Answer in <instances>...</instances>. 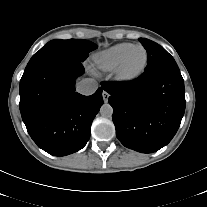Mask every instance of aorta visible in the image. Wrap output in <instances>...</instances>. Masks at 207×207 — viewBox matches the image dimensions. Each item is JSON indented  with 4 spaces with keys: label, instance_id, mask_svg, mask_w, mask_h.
Instances as JSON below:
<instances>
[{
    "label": "aorta",
    "instance_id": "obj_1",
    "mask_svg": "<svg viewBox=\"0 0 207 207\" xmlns=\"http://www.w3.org/2000/svg\"><path fill=\"white\" fill-rule=\"evenodd\" d=\"M100 114L103 117H111L113 114V108L110 104H103L100 108Z\"/></svg>",
    "mask_w": 207,
    "mask_h": 207
}]
</instances>
